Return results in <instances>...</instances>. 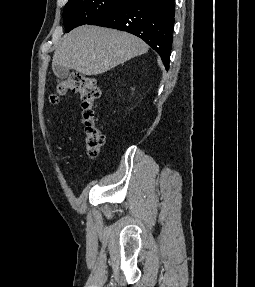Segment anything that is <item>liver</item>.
<instances>
[{
    "label": "liver",
    "instance_id": "6515ba94",
    "mask_svg": "<svg viewBox=\"0 0 255 287\" xmlns=\"http://www.w3.org/2000/svg\"><path fill=\"white\" fill-rule=\"evenodd\" d=\"M147 50L143 40L127 32L80 26L61 38L52 66H64L84 76H96L135 56L146 54Z\"/></svg>",
    "mask_w": 255,
    "mask_h": 287
}]
</instances>
